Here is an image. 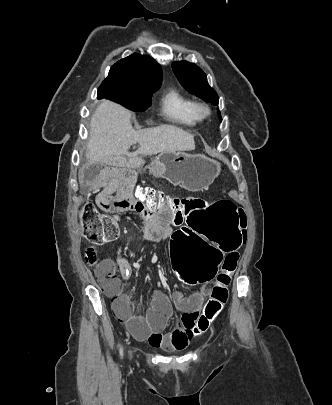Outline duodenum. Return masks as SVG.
I'll use <instances>...</instances> for the list:
<instances>
[{
	"instance_id": "obj_1",
	"label": "duodenum",
	"mask_w": 332,
	"mask_h": 405,
	"mask_svg": "<svg viewBox=\"0 0 332 405\" xmlns=\"http://www.w3.org/2000/svg\"><path fill=\"white\" fill-rule=\"evenodd\" d=\"M153 218L157 220V219H158V214H157V213H153Z\"/></svg>"
}]
</instances>
